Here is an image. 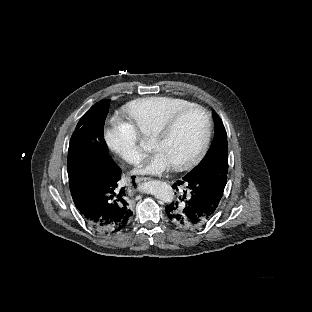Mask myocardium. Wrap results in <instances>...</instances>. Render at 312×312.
<instances>
[{
  "instance_id": "myocardium-1",
  "label": "myocardium",
  "mask_w": 312,
  "mask_h": 312,
  "mask_svg": "<svg viewBox=\"0 0 312 312\" xmlns=\"http://www.w3.org/2000/svg\"><path fill=\"white\" fill-rule=\"evenodd\" d=\"M185 117H195L199 119V129L201 131L200 135L202 140L201 148L199 151L193 153L192 156L187 157L186 160L172 163L170 169L174 173H182L189 168L197 166L198 162L204 160L205 157L209 155L212 147V126L210 124V117L205 110L194 106H184L176 111H171L166 117V121L162 123V128L158 131L156 142L158 144H163L165 142V137L170 134L171 128Z\"/></svg>"
}]
</instances>
